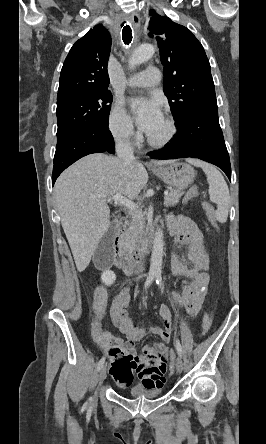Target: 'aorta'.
<instances>
[{
    "label": "aorta",
    "mask_w": 266,
    "mask_h": 444,
    "mask_svg": "<svg viewBox=\"0 0 266 444\" xmlns=\"http://www.w3.org/2000/svg\"><path fill=\"white\" fill-rule=\"evenodd\" d=\"M154 52L155 49L150 44H144L137 47L129 59V66L135 67L147 61L153 56ZM163 247H164L163 232L161 229H158L155 233V237L153 240V247H152V254L150 261V273L153 275L161 274L163 253H164Z\"/></svg>",
    "instance_id": "obj_1"
}]
</instances>
